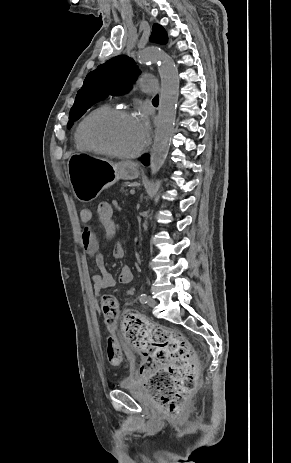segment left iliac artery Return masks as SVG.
I'll return each mask as SVG.
<instances>
[{
	"mask_svg": "<svg viewBox=\"0 0 291 463\" xmlns=\"http://www.w3.org/2000/svg\"><path fill=\"white\" fill-rule=\"evenodd\" d=\"M139 300L141 303L145 304L147 303L148 301V296L145 294V293H142L140 296H139Z\"/></svg>",
	"mask_w": 291,
	"mask_h": 463,
	"instance_id": "1",
	"label": "left iliac artery"
}]
</instances>
